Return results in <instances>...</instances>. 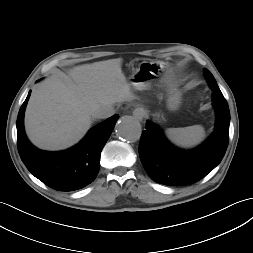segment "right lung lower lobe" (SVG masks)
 <instances>
[{
  "label": "right lung lower lobe",
  "mask_w": 253,
  "mask_h": 253,
  "mask_svg": "<svg viewBox=\"0 0 253 253\" xmlns=\"http://www.w3.org/2000/svg\"><path fill=\"white\" fill-rule=\"evenodd\" d=\"M31 91L22 104L17 118V146L28 170L47 186L58 191L81 189L96 178L100 154L119 116L108 118L93 127L74 147L65 151L47 152L34 147L24 131V111Z\"/></svg>",
  "instance_id": "98d812e1"
}]
</instances>
